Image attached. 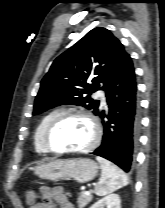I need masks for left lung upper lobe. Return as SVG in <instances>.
I'll use <instances>...</instances> for the list:
<instances>
[{"mask_svg": "<svg viewBox=\"0 0 165 208\" xmlns=\"http://www.w3.org/2000/svg\"><path fill=\"white\" fill-rule=\"evenodd\" d=\"M128 56L109 30L92 29L55 59L41 81L33 113L63 104L83 106L98 113L99 100L92 99L91 94L106 89Z\"/></svg>", "mask_w": 165, "mask_h": 208, "instance_id": "5c2ea615", "label": "left lung upper lobe"}]
</instances>
